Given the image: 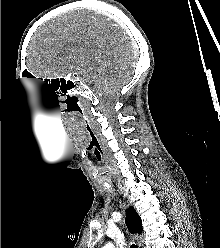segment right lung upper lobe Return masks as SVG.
Returning <instances> with one entry per match:
<instances>
[{
    "mask_svg": "<svg viewBox=\"0 0 220 248\" xmlns=\"http://www.w3.org/2000/svg\"><path fill=\"white\" fill-rule=\"evenodd\" d=\"M125 222L130 233H142L141 218L133 207L128 208Z\"/></svg>",
    "mask_w": 220,
    "mask_h": 248,
    "instance_id": "right-lung-upper-lobe-1",
    "label": "right lung upper lobe"
}]
</instances>
